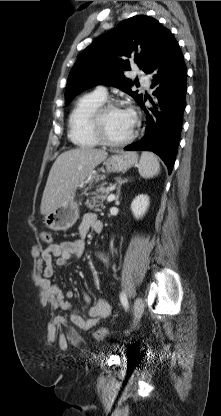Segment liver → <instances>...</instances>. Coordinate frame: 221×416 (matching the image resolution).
Returning a JSON list of instances; mask_svg holds the SVG:
<instances>
[{"mask_svg":"<svg viewBox=\"0 0 221 416\" xmlns=\"http://www.w3.org/2000/svg\"><path fill=\"white\" fill-rule=\"evenodd\" d=\"M107 156L105 150L92 148H76L60 154L49 172L41 200V214L47 215L64 204Z\"/></svg>","mask_w":221,"mask_h":416,"instance_id":"liver-1","label":"liver"}]
</instances>
